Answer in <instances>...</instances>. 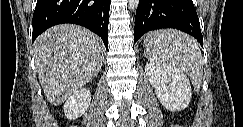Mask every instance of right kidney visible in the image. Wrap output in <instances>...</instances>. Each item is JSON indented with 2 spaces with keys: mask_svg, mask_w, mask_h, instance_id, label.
<instances>
[{
  "mask_svg": "<svg viewBox=\"0 0 243 127\" xmlns=\"http://www.w3.org/2000/svg\"><path fill=\"white\" fill-rule=\"evenodd\" d=\"M90 102V90L85 88L77 90L66 100L63 106L65 116L70 120L77 119L85 113Z\"/></svg>",
  "mask_w": 243,
  "mask_h": 127,
  "instance_id": "ca27d5eb",
  "label": "right kidney"
}]
</instances>
